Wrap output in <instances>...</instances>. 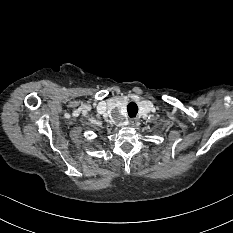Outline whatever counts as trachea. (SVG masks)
I'll list each match as a JSON object with an SVG mask.
<instances>
[{"instance_id": "trachea-1", "label": "trachea", "mask_w": 233, "mask_h": 233, "mask_svg": "<svg viewBox=\"0 0 233 233\" xmlns=\"http://www.w3.org/2000/svg\"><path fill=\"white\" fill-rule=\"evenodd\" d=\"M128 115L130 117H135L138 112V106L134 102H130L127 106Z\"/></svg>"}]
</instances>
